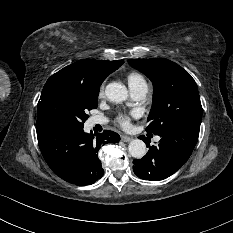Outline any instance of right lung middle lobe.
<instances>
[{"label": "right lung middle lobe", "mask_w": 233, "mask_h": 233, "mask_svg": "<svg viewBox=\"0 0 233 233\" xmlns=\"http://www.w3.org/2000/svg\"><path fill=\"white\" fill-rule=\"evenodd\" d=\"M99 89H88L64 77L51 76L38 102L37 126L83 127L87 112L97 108Z\"/></svg>", "instance_id": "dd1d6c3e"}]
</instances>
